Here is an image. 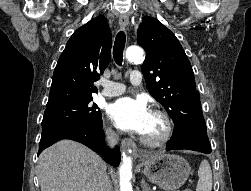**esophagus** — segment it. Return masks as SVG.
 <instances>
[{
  "label": "esophagus",
  "instance_id": "34e87169",
  "mask_svg": "<svg viewBox=\"0 0 251 191\" xmlns=\"http://www.w3.org/2000/svg\"><path fill=\"white\" fill-rule=\"evenodd\" d=\"M129 24V17L126 14H123L119 17V25L122 29H125ZM121 145L123 149L132 148L133 150L136 148L134 141L131 138H123L121 141Z\"/></svg>",
  "mask_w": 251,
  "mask_h": 191
}]
</instances>
